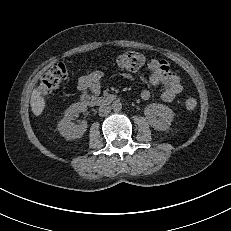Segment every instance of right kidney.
Instances as JSON below:
<instances>
[{
  "mask_svg": "<svg viewBox=\"0 0 231 231\" xmlns=\"http://www.w3.org/2000/svg\"><path fill=\"white\" fill-rule=\"evenodd\" d=\"M87 111V106L82 102L72 104L66 111L64 118L58 124L60 134L68 139L73 140L82 137L87 130V122L83 121L81 124L72 122L74 116L79 113Z\"/></svg>",
  "mask_w": 231,
  "mask_h": 231,
  "instance_id": "obj_1",
  "label": "right kidney"
}]
</instances>
